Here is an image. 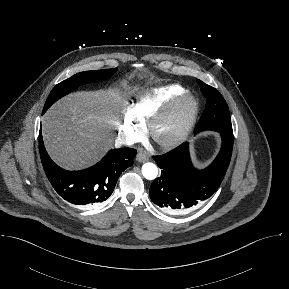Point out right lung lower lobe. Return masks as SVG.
Segmentation results:
<instances>
[{"mask_svg": "<svg viewBox=\"0 0 289 289\" xmlns=\"http://www.w3.org/2000/svg\"><path fill=\"white\" fill-rule=\"evenodd\" d=\"M39 151L43 168L53 188L63 199L75 205H93L105 201L112 194L122 172L133 165L137 153L132 148L114 149L88 169L67 171L49 157L41 130Z\"/></svg>", "mask_w": 289, "mask_h": 289, "instance_id": "obj_1", "label": "right lung lower lobe"}]
</instances>
